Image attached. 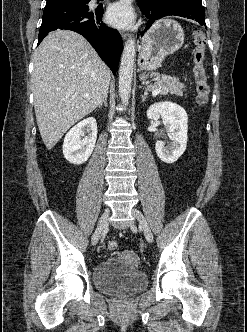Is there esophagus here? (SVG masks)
<instances>
[{
  "label": "esophagus",
  "mask_w": 247,
  "mask_h": 332,
  "mask_svg": "<svg viewBox=\"0 0 247 332\" xmlns=\"http://www.w3.org/2000/svg\"><path fill=\"white\" fill-rule=\"evenodd\" d=\"M121 36H122L123 40H127L130 37L129 33H127V32H122Z\"/></svg>",
  "instance_id": "34e87169"
}]
</instances>
